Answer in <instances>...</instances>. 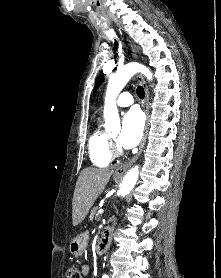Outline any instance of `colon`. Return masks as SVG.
I'll use <instances>...</instances> for the list:
<instances>
[{
    "label": "colon",
    "instance_id": "obj_1",
    "mask_svg": "<svg viewBox=\"0 0 221 278\" xmlns=\"http://www.w3.org/2000/svg\"><path fill=\"white\" fill-rule=\"evenodd\" d=\"M65 278H83V274L79 268L71 266L67 269Z\"/></svg>",
    "mask_w": 221,
    "mask_h": 278
}]
</instances>
